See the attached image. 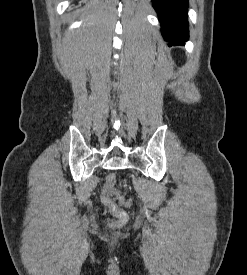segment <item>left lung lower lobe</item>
Listing matches in <instances>:
<instances>
[{"label":"left lung lower lobe","instance_id":"obj_1","mask_svg":"<svg viewBox=\"0 0 247 275\" xmlns=\"http://www.w3.org/2000/svg\"><path fill=\"white\" fill-rule=\"evenodd\" d=\"M164 39L169 46L184 45L188 40V0H152Z\"/></svg>","mask_w":247,"mask_h":275}]
</instances>
